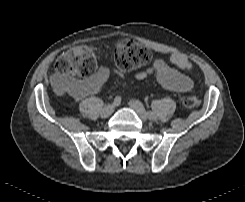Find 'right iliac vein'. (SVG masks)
Returning a JSON list of instances; mask_svg holds the SVG:
<instances>
[{"instance_id":"right-iliac-vein-1","label":"right iliac vein","mask_w":245,"mask_h":202,"mask_svg":"<svg viewBox=\"0 0 245 202\" xmlns=\"http://www.w3.org/2000/svg\"><path fill=\"white\" fill-rule=\"evenodd\" d=\"M115 105L114 104H108L100 112V115L102 118H108L114 111Z\"/></svg>"}]
</instances>
